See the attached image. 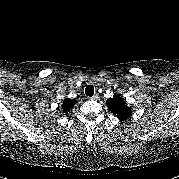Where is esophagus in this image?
<instances>
[{"instance_id": "1", "label": "esophagus", "mask_w": 179, "mask_h": 179, "mask_svg": "<svg viewBox=\"0 0 179 179\" xmlns=\"http://www.w3.org/2000/svg\"><path fill=\"white\" fill-rule=\"evenodd\" d=\"M91 99H92V100H97V99H98V95H97V94L93 95V96L91 97Z\"/></svg>"}]
</instances>
